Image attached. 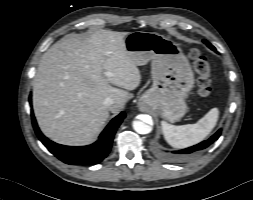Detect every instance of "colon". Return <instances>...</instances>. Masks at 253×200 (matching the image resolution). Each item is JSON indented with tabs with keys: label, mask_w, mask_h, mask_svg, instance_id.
Wrapping results in <instances>:
<instances>
[{
	"label": "colon",
	"mask_w": 253,
	"mask_h": 200,
	"mask_svg": "<svg viewBox=\"0 0 253 200\" xmlns=\"http://www.w3.org/2000/svg\"><path fill=\"white\" fill-rule=\"evenodd\" d=\"M189 56L193 62L195 71L198 74V93L202 98H206L212 91V75L211 65L207 58L198 50L192 49L189 52Z\"/></svg>",
	"instance_id": "1"
}]
</instances>
